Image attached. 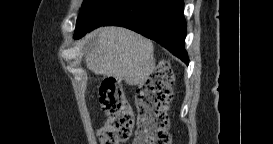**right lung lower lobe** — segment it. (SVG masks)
I'll return each instance as SVG.
<instances>
[{"label":"right lung lower lobe","instance_id":"obj_1","mask_svg":"<svg viewBox=\"0 0 273 144\" xmlns=\"http://www.w3.org/2000/svg\"><path fill=\"white\" fill-rule=\"evenodd\" d=\"M183 11V0H113L93 20L89 31L123 26L156 41L188 64Z\"/></svg>","mask_w":273,"mask_h":144}]
</instances>
